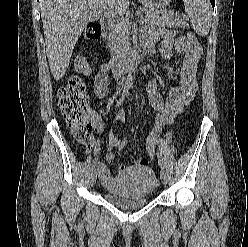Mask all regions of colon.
I'll use <instances>...</instances> for the list:
<instances>
[{
	"label": "colon",
	"mask_w": 248,
	"mask_h": 247,
	"mask_svg": "<svg viewBox=\"0 0 248 247\" xmlns=\"http://www.w3.org/2000/svg\"><path fill=\"white\" fill-rule=\"evenodd\" d=\"M84 35L88 40L98 39L100 37L98 23H89L84 31ZM187 39L189 41H196L193 33H188ZM75 67L82 74L90 73V67L83 56L76 57ZM57 96L59 107L73 139L85 147H90L92 145L93 127L89 99L84 84L78 77L71 76L67 83L59 88ZM166 124H168L166 112L158 111L155 125L150 131L146 142L149 160L154 159L155 145Z\"/></svg>",
	"instance_id": "colon-1"
}]
</instances>
